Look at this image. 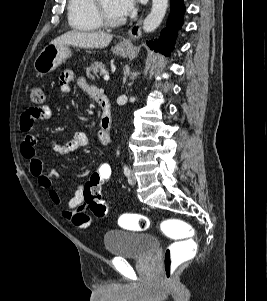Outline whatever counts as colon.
Returning <instances> with one entry per match:
<instances>
[{"label": "colon", "mask_w": 267, "mask_h": 301, "mask_svg": "<svg viewBox=\"0 0 267 301\" xmlns=\"http://www.w3.org/2000/svg\"><path fill=\"white\" fill-rule=\"evenodd\" d=\"M30 98L34 104L40 105L44 102V92L38 87H32ZM112 176L110 164L100 165L91 175L84 186V201L93 214L99 218L108 215V206L102 196V186ZM122 226L135 231H145L150 227L147 216L138 213L124 214L120 218ZM161 231L169 238L175 240L164 251L163 264L166 280H171L176 271L184 263L192 259L196 253L197 245L194 240L192 226L181 219H166L160 224Z\"/></svg>", "instance_id": "obj_1"}]
</instances>
